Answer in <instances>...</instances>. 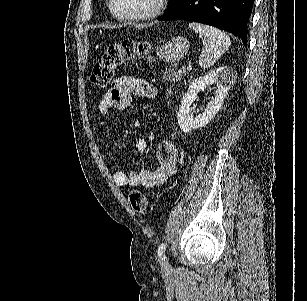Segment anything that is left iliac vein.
Segmentation results:
<instances>
[{"label":"left iliac vein","instance_id":"left-iliac-vein-1","mask_svg":"<svg viewBox=\"0 0 307 301\" xmlns=\"http://www.w3.org/2000/svg\"><path fill=\"white\" fill-rule=\"evenodd\" d=\"M162 265L164 266V268H169L170 267V264H169L166 256H164V258H163Z\"/></svg>","mask_w":307,"mask_h":301}]
</instances>
